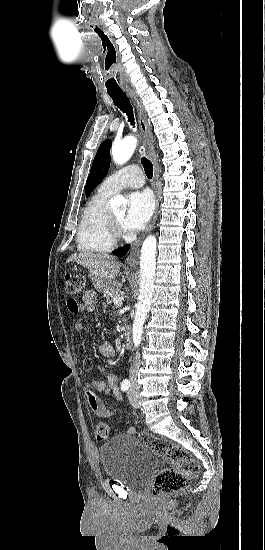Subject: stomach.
<instances>
[{"label": "stomach", "mask_w": 265, "mask_h": 550, "mask_svg": "<svg viewBox=\"0 0 265 550\" xmlns=\"http://www.w3.org/2000/svg\"><path fill=\"white\" fill-rule=\"evenodd\" d=\"M110 284L106 283V282H100L98 279H97V288L99 290H104L105 288L109 287Z\"/></svg>", "instance_id": "stomach-1"}]
</instances>
